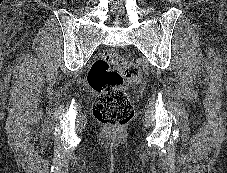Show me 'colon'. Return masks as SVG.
Here are the masks:
<instances>
[{"mask_svg":"<svg viewBox=\"0 0 227 173\" xmlns=\"http://www.w3.org/2000/svg\"><path fill=\"white\" fill-rule=\"evenodd\" d=\"M142 79L140 67L115 51H107L95 61L88 72V83L97 93L93 113L103 125L125 126L133 118V106L123 84L126 80L138 85Z\"/></svg>","mask_w":227,"mask_h":173,"instance_id":"5ec220e1","label":"colon"}]
</instances>
